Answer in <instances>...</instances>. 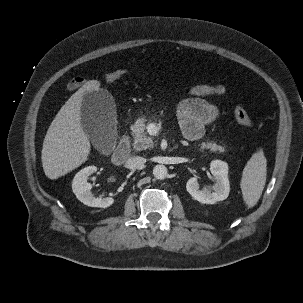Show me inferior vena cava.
<instances>
[{
    "label": "inferior vena cava",
    "instance_id": "602c4592",
    "mask_svg": "<svg viewBox=\"0 0 303 303\" xmlns=\"http://www.w3.org/2000/svg\"><path fill=\"white\" fill-rule=\"evenodd\" d=\"M146 159L139 156L131 157L126 162V167L131 170H136L144 165Z\"/></svg>",
    "mask_w": 303,
    "mask_h": 303
}]
</instances>
